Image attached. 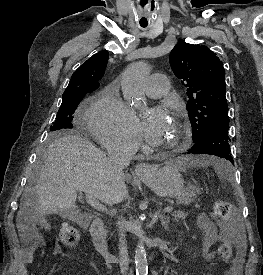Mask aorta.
Masks as SVG:
<instances>
[{"label":"aorta","instance_id":"762f6f07","mask_svg":"<svg viewBox=\"0 0 263 275\" xmlns=\"http://www.w3.org/2000/svg\"><path fill=\"white\" fill-rule=\"evenodd\" d=\"M149 74V65L144 62H136L126 68L122 77V92L129 102H136L144 95V84ZM136 275H147L148 262L144 238L140 235L135 249Z\"/></svg>","mask_w":263,"mask_h":275}]
</instances>
